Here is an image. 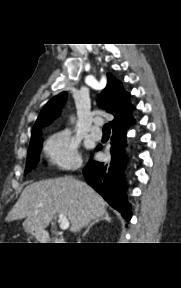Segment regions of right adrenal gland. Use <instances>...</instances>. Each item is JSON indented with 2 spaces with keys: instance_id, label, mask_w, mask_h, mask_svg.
Wrapping results in <instances>:
<instances>
[{
  "instance_id": "2a0ac1e0",
  "label": "right adrenal gland",
  "mask_w": 181,
  "mask_h": 288,
  "mask_svg": "<svg viewBox=\"0 0 181 288\" xmlns=\"http://www.w3.org/2000/svg\"><path fill=\"white\" fill-rule=\"evenodd\" d=\"M102 220H105V221H107V222H110V221H111V218L109 217L108 214H106V215L102 218ZM97 222H98V220H95V221L91 222V223L88 225L86 231L83 233V237L86 236V234L90 231V228H91L95 223H97Z\"/></svg>"
}]
</instances>
